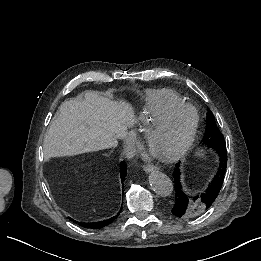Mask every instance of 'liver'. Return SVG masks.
I'll return each mask as SVG.
<instances>
[{
  "instance_id": "liver-1",
  "label": "liver",
  "mask_w": 261,
  "mask_h": 261,
  "mask_svg": "<svg viewBox=\"0 0 261 261\" xmlns=\"http://www.w3.org/2000/svg\"><path fill=\"white\" fill-rule=\"evenodd\" d=\"M134 119L126 105H118L97 92L64 102L44 139L45 153L73 156L115 148Z\"/></svg>"
}]
</instances>
